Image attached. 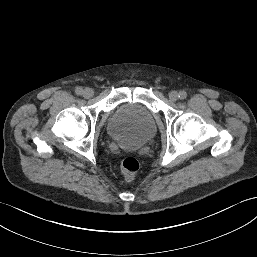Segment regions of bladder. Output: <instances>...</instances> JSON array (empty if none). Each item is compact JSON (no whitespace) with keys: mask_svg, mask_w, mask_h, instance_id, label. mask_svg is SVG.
I'll return each mask as SVG.
<instances>
[{"mask_svg":"<svg viewBox=\"0 0 257 257\" xmlns=\"http://www.w3.org/2000/svg\"><path fill=\"white\" fill-rule=\"evenodd\" d=\"M109 136L126 148H139L156 135L151 112L140 104L127 103L117 109L107 123Z\"/></svg>","mask_w":257,"mask_h":257,"instance_id":"31cf9c89","label":"bladder"}]
</instances>
